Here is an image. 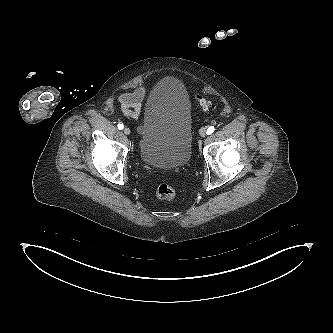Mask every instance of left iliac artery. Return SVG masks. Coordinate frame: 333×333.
I'll return each instance as SVG.
<instances>
[{"instance_id":"left-iliac-artery-1","label":"left iliac artery","mask_w":333,"mask_h":333,"mask_svg":"<svg viewBox=\"0 0 333 333\" xmlns=\"http://www.w3.org/2000/svg\"><path fill=\"white\" fill-rule=\"evenodd\" d=\"M214 130H215V128H214V126H210L208 129H207V134L208 135H210V134H212L213 132H214Z\"/></svg>"}]
</instances>
